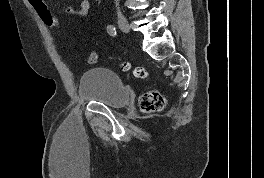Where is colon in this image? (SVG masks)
<instances>
[{"instance_id":"5ec220e1","label":"colon","mask_w":264,"mask_h":178,"mask_svg":"<svg viewBox=\"0 0 264 178\" xmlns=\"http://www.w3.org/2000/svg\"><path fill=\"white\" fill-rule=\"evenodd\" d=\"M33 10L36 12L37 16L41 22L49 28H59L60 23L53 15L48 5L44 0H28ZM99 55L92 52L88 55L87 62L89 64H94L98 62ZM124 70H130L131 66L128 63L123 64ZM133 74L137 78H146L147 71L143 67L133 68ZM166 100L164 96L158 90H150L145 92L139 98V106L143 112L151 113L158 112L165 108Z\"/></svg>"}]
</instances>
